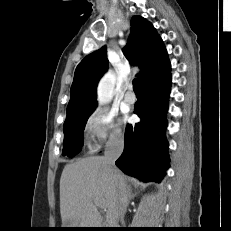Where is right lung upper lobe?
Listing matches in <instances>:
<instances>
[{
  "label": "right lung upper lobe",
  "mask_w": 231,
  "mask_h": 231,
  "mask_svg": "<svg viewBox=\"0 0 231 231\" xmlns=\"http://www.w3.org/2000/svg\"><path fill=\"white\" fill-rule=\"evenodd\" d=\"M125 56L141 71V86L170 71V62L162 39L141 16L131 19V33L124 48ZM108 69L105 47L86 56L76 67L70 90L67 114L95 108L98 81Z\"/></svg>",
  "instance_id": "cb5924a9"
}]
</instances>
